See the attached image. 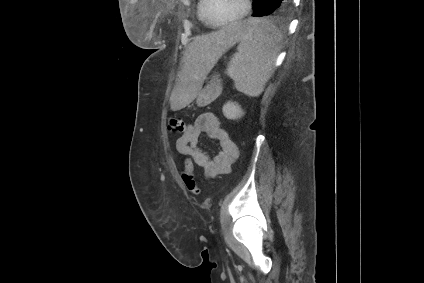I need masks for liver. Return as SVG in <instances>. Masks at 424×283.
I'll use <instances>...</instances> for the list:
<instances>
[{
	"label": "liver",
	"instance_id": "6515ba94",
	"mask_svg": "<svg viewBox=\"0 0 424 283\" xmlns=\"http://www.w3.org/2000/svg\"><path fill=\"white\" fill-rule=\"evenodd\" d=\"M246 29L244 22L232 23L210 34L197 36L188 44L182 59L180 80L170 97L173 111L185 108L194 100L206 75L223 52L241 40Z\"/></svg>",
	"mask_w": 424,
	"mask_h": 283
}]
</instances>
